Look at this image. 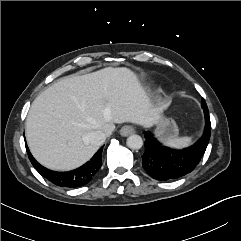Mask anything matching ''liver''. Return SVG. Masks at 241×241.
Here are the masks:
<instances>
[{
	"instance_id": "1",
	"label": "liver",
	"mask_w": 241,
	"mask_h": 241,
	"mask_svg": "<svg viewBox=\"0 0 241 241\" xmlns=\"http://www.w3.org/2000/svg\"><path fill=\"white\" fill-rule=\"evenodd\" d=\"M161 108H153L136 75L127 68H105L64 77L33 101L26 119V139L34 158L58 171L87 162L99 146L88 134L111 135L115 124L156 125Z\"/></svg>"
}]
</instances>
